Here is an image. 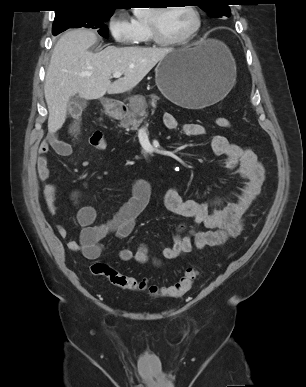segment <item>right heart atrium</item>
Segmentation results:
<instances>
[{
    "mask_svg": "<svg viewBox=\"0 0 306 387\" xmlns=\"http://www.w3.org/2000/svg\"><path fill=\"white\" fill-rule=\"evenodd\" d=\"M110 35L115 42L122 45L130 44L135 39V26L121 14H113L107 23Z\"/></svg>",
    "mask_w": 306,
    "mask_h": 387,
    "instance_id": "right-heart-atrium-1",
    "label": "right heart atrium"
}]
</instances>
